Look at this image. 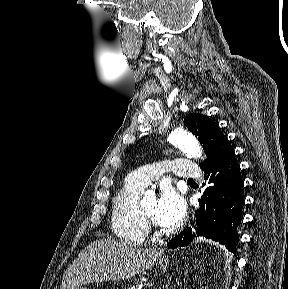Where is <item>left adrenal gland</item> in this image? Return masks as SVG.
I'll return each mask as SVG.
<instances>
[{
    "label": "left adrenal gland",
    "instance_id": "1",
    "mask_svg": "<svg viewBox=\"0 0 288 289\" xmlns=\"http://www.w3.org/2000/svg\"><path fill=\"white\" fill-rule=\"evenodd\" d=\"M171 280H172V277H170V280H168V282L166 283L165 289H168V287L170 286Z\"/></svg>",
    "mask_w": 288,
    "mask_h": 289
}]
</instances>
